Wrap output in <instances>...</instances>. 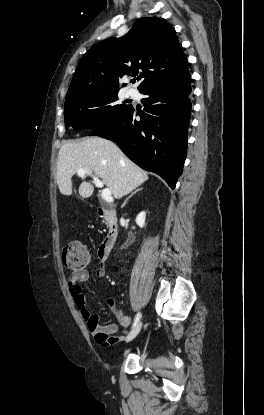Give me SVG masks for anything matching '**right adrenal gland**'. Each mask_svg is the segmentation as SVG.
Listing matches in <instances>:
<instances>
[{
	"label": "right adrenal gland",
	"mask_w": 264,
	"mask_h": 415,
	"mask_svg": "<svg viewBox=\"0 0 264 415\" xmlns=\"http://www.w3.org/2000/svg\"><path fill=\"white\" fill-rule=\"evenodd\" d=\"M140 190H142V188H139V189H137V190H135L134 192H132V194H130V196H128V198L124 201V203H123V205H122V207H124L125 206V204L127 203V201L134 195V194H136L138 191H140Z\"/></svg>",
	"instance_id": "1"
}]
</instances>
